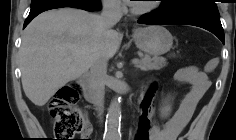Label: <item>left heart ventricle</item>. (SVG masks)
<instances>
[{
  "label": "left heart ventricle",
  "instance_id": "obj_1",
  "mask_svg": "<svg viewBox=\"0 0 236 140\" xmlns=\"http://www.w3.org/2000/svg\"><path fill=\"white\" fill-rule=\"evenodd\" d=\"M138 5L143 6L146 5V3H138Z\"/></svg>",
  "mask_w": 236,
  "mask_h": 140
}]
</instances>
